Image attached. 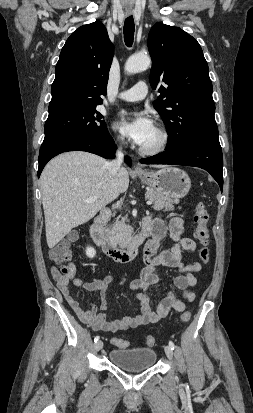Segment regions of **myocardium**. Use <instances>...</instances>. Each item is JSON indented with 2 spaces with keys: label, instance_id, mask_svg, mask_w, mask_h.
<instances>
[{
  "label": "myocardium",
  "instance_id": "1",
  "mask_svg": "<svg viewBox=\"0 0 253 413\" xmlns=\"http://www.w3.org/2000/svg\"><path fill=\"white\" fill-rule=\"evenodd\" d=\"M156 130L158 131L159 134V141L158 143L153 146V147H139V152L144 155H157L159 153H162L165 151L170 143V133L167 130V128L160 124L157 123L155 125Z\"/></svg>",
  "mask_w": 253,
  "mask_h": 413
}]
</instances>
